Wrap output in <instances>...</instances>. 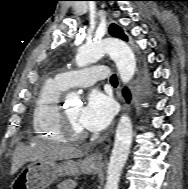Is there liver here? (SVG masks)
Returning <instances> with one entry per match:
<instances>
[{"instance_id": "liver-1", "label": "liver", "mask_w": 188, "mask_h": 189, "mask_svg": "<svg viewBox=\"0 0 188 189\" xmlns=\"http://www.w3.org/2000/svg\"><path fill=\"white\" fill-rule=\"evenodd\" d=\"M83 155L84 152L81 149L71 145L49 143L38 146H25L19 144L13 153L10 174L14 175L28 161L53 162L79 158Z\"/></svg>"}]
</instances>
